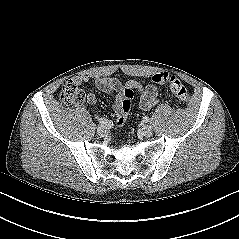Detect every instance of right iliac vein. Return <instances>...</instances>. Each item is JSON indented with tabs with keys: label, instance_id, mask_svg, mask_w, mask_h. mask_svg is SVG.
<instances>
[{
	"label": "right iliac vein",
	"instance_id": "obj_1",
	"mask_svg": "<svg viewBox=\"0 0 239 239\" xmlns=\"http://www.w3.org/2000/svg\"><path fill=\"white\" fill-rule=\"evenodd\" d=\"M108 132H109V129L106 125H100L97 128V133H98L99 136L104 137L108 134Z\"/></svg>",
	"mask_w": 239,
	"mask_h": 239
}]
</instances>
